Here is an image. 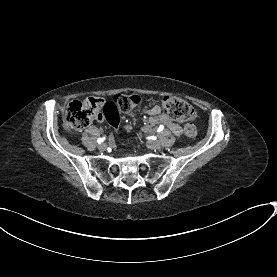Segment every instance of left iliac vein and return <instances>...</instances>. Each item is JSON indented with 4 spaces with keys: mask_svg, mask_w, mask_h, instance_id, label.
<instances>
[{
    "mask_svg": "<svg viewBox=\"0 0 277 277\" xmlns=\"http://www.w3.org/2000/svg\"><path fill=\"white\" fill-rule=\"evenodd\" d=\"M147 147L151 150H156V149H160L161 147V144L159 141H156V140H152V141H149L147 143Z\"/></svg>",
    "mask_w": 277,
    "mask_h": 277,
    "instance_id": "1",
    "label": "left iliac vein"
}]
</instances>
